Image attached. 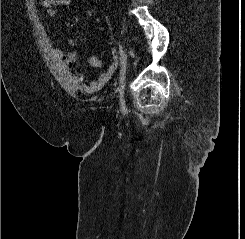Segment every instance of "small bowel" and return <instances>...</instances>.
<instances>
[{
	"mask_svg": "<svg viewBox=\"0 0 245 239\" xmlns=\"http://www.w3.org/2000/svg\"><path fill=\"white\" fill-rule=\"evenodd\" d=\"M72 0H42V5L47 9L49 16L54 17L56 15V8L58 6H69ZM68 43L74 45V40L69 38ZM55 52L59 58L62 68L70 72L73 69V66L76 62L77 55L75 52H64L61 47L57 46ZM110 63L108 66L103 69L99 75L91 80L90 82H85V76L81 72H76L72 75V79L75 83L80 85L82 89L87 93H95L101 90L113 77L117 67H118V55L117 52L112 49L109 53ZM89 64L93 68H102V60L96 56L91 55L89 57Z\"/></svg>",
	"mask_w": 245,
	"mask_h": 239,
	"instance_id": "small-bowel-1",
	"label": "small bowel"
}]
</instances>
